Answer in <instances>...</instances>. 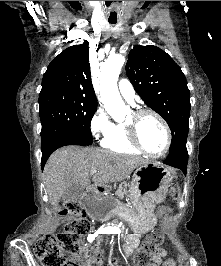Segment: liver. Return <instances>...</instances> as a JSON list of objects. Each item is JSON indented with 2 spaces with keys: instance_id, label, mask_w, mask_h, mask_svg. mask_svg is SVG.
I'll return each mask as SVG.
<instances>
[{
  "instance_id": "6515ba94",
  "label": "liver",
  "mask_w": 221,
  "mask_h": 266,
  "mask_svg": "<svg viewBox=\"0 0 221 266\" xmlns=\"http://www.w3.org/2000/svg\"><path fill=\"white\" fill-rule=\"evenodd\" d=\"M148 161L138 156L114 153L93 147L67 146L55 151L48 159L44 172V185L50 203H58L72 184L88 186L91 170L95 186L117 183L130 176L134 169Z\"/></svg>"
}]
</instances>
